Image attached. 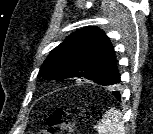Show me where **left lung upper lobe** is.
<instances>
[{
  "label": "left lung upper lobe",
  "instance_id": "5c2ea615",
  "mask_svg": "<svg viewBox=\"0 0 153 134\" xmlns=\"http://www.w3.org/2000/svg\"><path fill=\"white\" fill-rule=\"evenodd\" d=\"M39 76L55 80L87 79L112 90L121 82L114 48L105 33L96 27L80 29L54 48Z\"/></svg>",
  "mask_w": 153,
  "mask_h": 134
}]
</instances>
